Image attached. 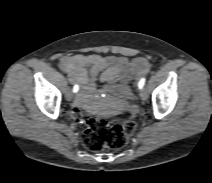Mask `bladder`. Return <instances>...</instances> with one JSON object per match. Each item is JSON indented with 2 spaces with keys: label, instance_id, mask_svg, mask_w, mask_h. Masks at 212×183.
Instances as JSON below:
<instances>
[{
  "label": "bladder",
  "instance_id": "31cf9c89",
  "mask_svg": "<svg viewBox=\"0 0 212 183\" xmlns=\"http://www.w3.org/2000/svg\"><path fill=\"white\" fill-rule=\"evenodd\" d=\"M108 92H109L111 95H114V96H123V97H128V96H130V92H128V91L126 90L125 87L120 86V85L111 86V87L108 89Z\"/></svg>",
  "mask_w": 212,
  "mask_h": 183
}]
</instances>
